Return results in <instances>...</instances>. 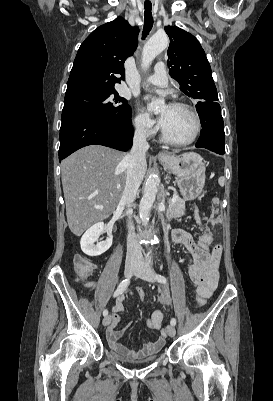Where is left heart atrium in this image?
<instances>
[{"mask_svg":"<svg viewBox=\"0 0 273 401\" xmlns=\"http://www.w3.org/2000/svg\"><path fill=\"white\" fill-rule=\"evenodd\" d=\"M145 102H146V104H148V103H149V98H145ZM169 107H170V106L166 107L165 109H168ZM163 117H164V115L161 114V116H160L161 122H162V120H163Z\"/></svg>","mask_w":273,"mask_h":401,"instance_id":"obj_1","label":"left heart atrium"}]
</instances>
